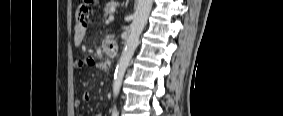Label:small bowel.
Segmentation results:
<instances>
[{
  "mask_svg": "<svg viewBox=\"0 0 283 116\" xmlns=\"http://www.w3.org/2000/svg\"><path fill=\"white\" fill-rule=\"evenodd\" d=\"M87 9L84 6L79 7L76 10V22L74 26L73 40L76 46H81L86 36V25H85V16ZM97 65L100 68L106 69L107 65L105 63H96L95 60L91 57H85L81 60H78L75 63V67L81 69L84 66L88 65ZM92 99V94L89 91H84L81 95V100H76L75 105L79 106L80 102H88ZM98 116H101L99 114Z\"/></svg>",
  "mask_w": 283,
  "mask_h": 116,
  "instance_id": "small-bowel-1",
  "label": "small bowel"
}]
</instances>
